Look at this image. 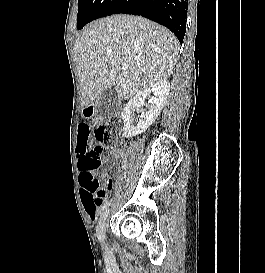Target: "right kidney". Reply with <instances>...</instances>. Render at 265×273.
Wrapping results in <instances>:
<instances>
[{
	"label": "right kidney",
	"mask_w": 265,
	"mask_h": 273,
	"mask_svg": "<svg viewBox=\"0 0 265 273\" xmlns=\"http://www.w3.org/2000/svg\"><path fill=\"white\" fill-rule=\"evenodd\" d=\"M170 84L167 80H159L145 90L138 92L126 105L122 112L124 120L123 135L126 138L136 136L145 132L149 126L156 120L160 114L164 103L167 100ZM153 93V97L148 105V111L143 112L140 116L136 127L130 123V115L134 108L144 104L145 99Z\"/></svg>",
	"instance_id": "1"
}]
</instances>
